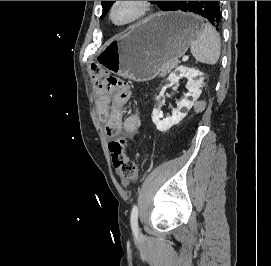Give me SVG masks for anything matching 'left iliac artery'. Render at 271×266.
<instances>
[{"mask_svg":"<svg viewBox=\"0 0 271 266\" xmlns=\"http://www.w3.org/2000/svg\"><path fill=\"white\" fill-rule=\"evenodd\" d=\"M131 227L134 233L138 232V208L136 205L133 206L130 217Z\"/></svg>","mask_w":271,"mask_h":266,"instance_id":"obj_1","label":"left iliac artery"}]
</instances>
